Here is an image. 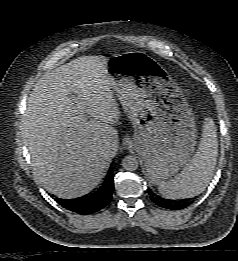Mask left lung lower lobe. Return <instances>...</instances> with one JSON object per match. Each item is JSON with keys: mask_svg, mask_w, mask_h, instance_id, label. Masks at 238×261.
Segmentation results:
<instances>
[{"mask_svg": "<svg viewBox=\"0 0 238 261\" xmlns=\"http://www.w3.org/2000/svg\"><path fill=\"white\" fill-rule=\"evenodd\" d=\"M149 195H150L151 200L154 203H156L158 206L166 208V209H171V210L184 209L191 203V202H187V201L178 203V202H174L172 200H167V199L157 196L152 191H149Z\"/></svg>", "mask_w": 238, "mask_h": 261, "instance_id": "left-lung-lower-lobe-1", "label": "left lung lower lobe"}]
</instances>
